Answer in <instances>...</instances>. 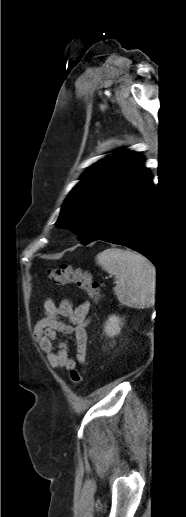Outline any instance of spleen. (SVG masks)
I'll return each instance as SVG.
<instances>
[{
  "instance_id": "1",
  "label": "spleen",
  "mask_w": 186,
  "mask_h": 517,
  "mask_svg": "<svg viewBox=\"0 0 186 517\" xmlns=\"http://www.w3.org/2000/svg\"><path fill=\"white\" fill-rule=\"evenodd\" d=\"M103 270L116 277L114 288L118 300L143 309L155 303L156 268L144 256L119 248H109L96 256Z\"/></svg>"
}]
</instances>
